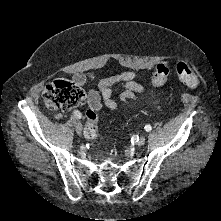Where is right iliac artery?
I'll use <instances>...</instances> for the list:
<instances>
[{
	"label": "right iliac artery",
	"mask_w": 221,
	"mask_h": 221,
	"mask_svg": "<svg viewBox=\"0 0 221 221\" xmlns=\"http://www.w3.org/2000/svg\"><path fill=\"white\" fill-rule=\"evenodd\" d=\"M74 116L77 118V119H80L81 118V113L78 111V110H75L73 112Z\"/></svg>",
	"instance_id": "1"
}]
</instances>
